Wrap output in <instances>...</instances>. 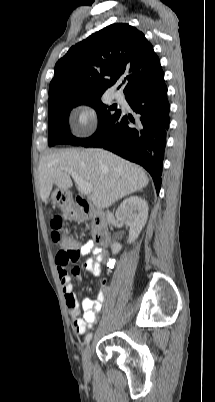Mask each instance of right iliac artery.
Wrapping results in <instances>:
<instances>
[{"label":"right iliac artery","instance_id":"82829eb1","mask_svg":"<svg viewBox=\"0 0 215 402\" xmlns=\"http://www.w3.org/2000/svg\"><path fill=\"white\" fill-rule=\"evenodd\" d=\"M91 339H92V333H89V334H87V336L85 338V342L89 343Z\"/></svg>","mask_w":215,"mask_h":402}]
</instances>
